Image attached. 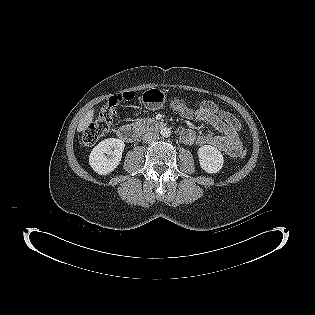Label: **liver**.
I'll return each mask as SVG.
<instances>
[{
	"mask_svg": "<svg viewBox=\"0 0 315 315\" xmlns=\"http://www.w3.org/2000/svg\"><path fill=\"white\" fill-rule=\"evenodd\" d=\"M93 115H94V109L89 110L86 113V115L80 119L78 127H77V131L81 132L85 130L92 123Z\"/></svg>",
	"mask_w": 315,
	"mask_h": 315,
	"instance_id": "obj_1",
	"label": "liver"
}]
</instances>
